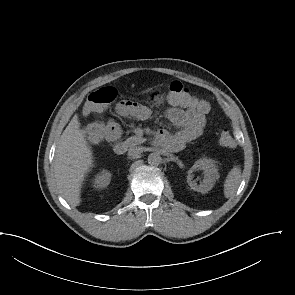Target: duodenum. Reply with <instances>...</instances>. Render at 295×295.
Returning a JSON list of instances; mask_svg holds the SVG:
<instances>
[{"instance_id":"duodenum-1","label":"duodenum","mask_w":295,"mask_h":295,"mask_svg":"<svg viewBox=\"0 0 295 295\" xmlns=\"http://www.w3.org/2000/svg\"><path fill=\"white\" fill-rule=\"evenodd\" d=\"M113 150H114V153L116 154V155H123V154H125L126 153V151H127V146H126V144L124 143V142H117L115 145H114V148H113Z\"/></svg>"}]
</instances>
